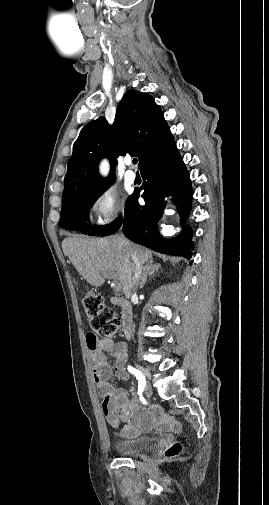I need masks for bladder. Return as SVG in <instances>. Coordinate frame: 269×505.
Returning a JSON list of instances; mask_svg holds the SVG:
<instances>
[{
  "label": "bladder",
  "mask_w": 269,
  "mask_h": 505,
  "mask_svg": "<svg viewBox=\"0 0 269 505\" xmlns=\"http://www.w3.org/2000/svg\"><path fill=\"white\" fill-rule=\"evenodd\" d=\"M153 444V438L142 436L131 440L117 441L114 446L116 451L121 455L135 456L148 450Z\"/></svg>",
  "instance_id": "1"
}]
</instances>
